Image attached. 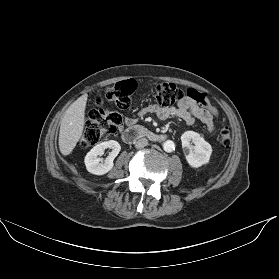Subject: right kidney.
<instances>
[{
    "label": "right kidney",
    "instance_id": "obj_1",
    "mask_svg": "<svg viewBox=\"0 0 279 279\" xmlns=\"http://www.w3.org/2000/svg\"><path fill=\"white\" fill-rule=\"evenodd\" d=\"M109 148L111 152L103 161L98 156L103 155L104 151ZM121 146L117 141L109 140L94 146L85 156L84 162L88 172L95 175H104L114 166V159L119 154Z\"/></svg>",
    "mask_w": 279,
    "mask_h": 279
}]
</instances>
